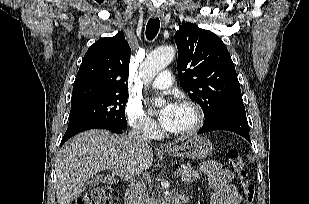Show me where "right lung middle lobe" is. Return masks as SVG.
<instances>
[{
  "mask_svg": "<svg viewBox=\"0 0 309 204\" xmlns=\"http://www.w3.org/2000/svg\"><path fill=\"white\" fill-rule=\"evenodd\" d=\"M126 102L127 93H112L71 103L68 126L95 121L124 129Z\"/></svg>",
  "mask_w": 309,
  "mask_h": 204,
  "instance_id": "obj_1",
  "label": "right lung middle lobe"
}]
</instances>
